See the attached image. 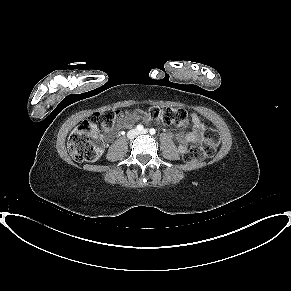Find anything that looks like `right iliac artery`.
<instances>
[{"mask_svg":"<svg viewBox=\"0 0 291 291\" xmlns=\"http://www.w3.org/2000/svg\"><path fill=\"white\" fill-rule=\"evenodd\" d=\"M136 129H137L138 131H141V130H143V126H142L141 124H139V125H137Z\"/></svg>","mask_w":291,"mask_h":291,"instance_id":"82829eb1","label":"right iliac artery"}]
</instances>
